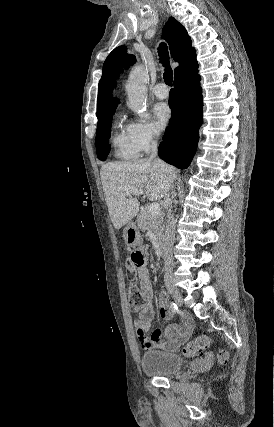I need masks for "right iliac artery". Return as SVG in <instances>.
Wrapping results in <instances>:
<instances>
[{"label": "right iliac artery", "mask_w": 274, "mask_h": 427, "mask_svg": "<svg viewBox=\"0 0 274 427\" xmlns=\"http://www.w3.org/2000/svg\"><path fill=\"white\" fill-rule=\"evenodd\" d=\"M170 308H171V311H172L173 315L177 313L178 307H177V305L174 302H170Z\"/></svg>", "instance_id": "right-iliac-artery-1"}]
</instances>
